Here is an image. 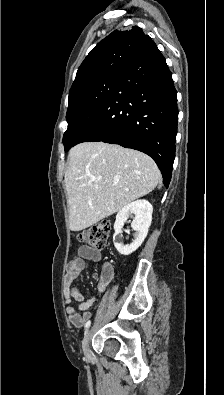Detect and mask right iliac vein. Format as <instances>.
Wrapping results in <instances>:
<instances>
[{
  "mask_svg": "<svg viewBox=\"0 0 224 395\" xmlns=\"http://www.w3.org/2000/svg\"><path fill=\"white\" fill-rule=\"evenodd\" d=\"M90 331H88L82 341V349L86 357L91 356V351L89 348Z\"/></svg>",
  "mask_w": 224,
  "mask_h": 395,
  "instance_id": "63e3f726",
  "label": "right iliac vein"
}]
</instances>
